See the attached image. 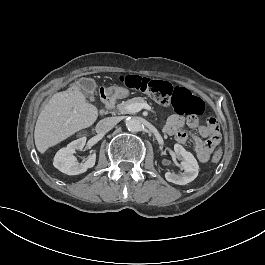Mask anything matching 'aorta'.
Listing matches in <instances>:
<instances>
[{
  "label": "aorta",
  "instance_id": "762f6f07",
  "mask_svg": "<svg viewBox=\"0 0 265 265\" xmlns=\"http://www.w3.org/2000/svg\"><path fill=\"white\" fill-rule=\"evenodd\" d=\"M126 128L130 132H139L142 129L141 121L138 117H132L126 122Z\"/></svg>",
  "mask_w": 265,
  "mask_h": 265
}]
</instances>
